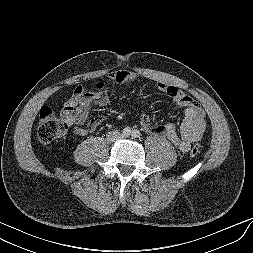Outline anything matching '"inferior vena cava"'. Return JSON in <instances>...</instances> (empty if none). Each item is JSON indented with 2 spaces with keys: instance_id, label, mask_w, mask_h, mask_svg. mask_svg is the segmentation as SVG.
<instances>
[{
  "instance_id": "obj_1",
  "label": "inferior vena cava",
  "mask_w": 253,
  "mask_h": 253,
  "mask_svg": "<svg viewBox=\"0 0 253 253\" xmlns=\"http://www.w3.org/2000/svg\"><path fill=\"white\" fill-rule=\"evenodd\" d=\"M106 138L111 142H115L122 138V134L118 130H114L108 132Z\"/></svg>"
}]
</instances>
